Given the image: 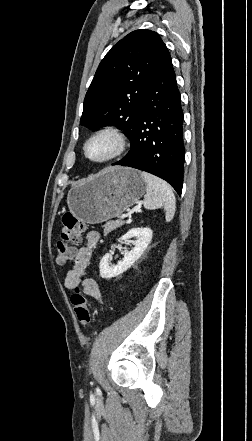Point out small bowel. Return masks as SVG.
<instances>
[{"instance_id":"small-bowel-1","label":"small bowel","mask_w":252,"mask_h":441,"mask_svg":"<svg viewBox=\"0 0 252 441\" xmlns=\"http://www.w3.org/2000/svg\"><path fill=\"white\" fill-rule=\"evenodd\" d=\"M99 242V234L90 231L85 238L83 245L75 254L74 264L65 277V287L72 290L81 287L84 294L102 302V296L97 282L91 278H84L85 270L90 263L93 249Z\"/></svg>"}]
</instances>
